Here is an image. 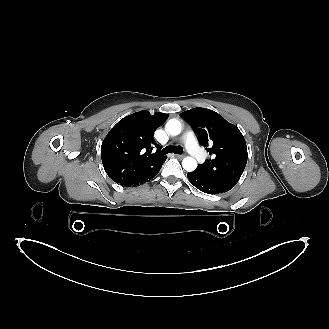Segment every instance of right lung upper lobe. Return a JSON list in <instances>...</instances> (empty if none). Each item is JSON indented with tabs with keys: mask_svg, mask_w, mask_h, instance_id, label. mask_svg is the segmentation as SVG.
<instances>
[{
	"mask_svg": "<svg viewBox=\"0 0 329 329\" xmlns=\"http://www.w3.org/2000/svg\"><path fill=\"white\" fill-rule=\"evenodd\" d=\"M168 118V114L139 111L121 119L107 134L101 157L107 175L116 183L127 185L154 168L166 157L152 153L158 147L153 136L155 130Z\"/></svg>",
	"mask_w": 329,
	"mask_h": 329,
	"instance_id": "1",
	"label": "right lung upper lobe"
}]
</instances>
